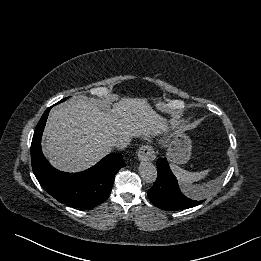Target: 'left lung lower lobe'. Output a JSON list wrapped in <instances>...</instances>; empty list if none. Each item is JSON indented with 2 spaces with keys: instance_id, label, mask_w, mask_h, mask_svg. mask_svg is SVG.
<instances>
[{
  "instance_id": "0a47b994",
  "label": "left lung lower lobe",
  "mask_w": 261,
  "mask_h": 261,
  "mask_svg": "<svg viewBox=\"0 0 261 261\" xmlns=\"http://www.w3.org/2000/svg\"><path fill=\"white\" fill-rule=\"evenodd\" d=\"M157 169V180L148 191V197L156 207L163 210H180L192 208L203 202L195 199L194 194L181 191L165 158L157 160Z\"/></svg>"
}]
</instances>
